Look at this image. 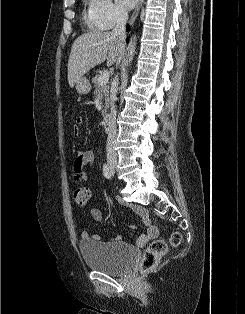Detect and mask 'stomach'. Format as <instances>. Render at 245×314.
I'll list each match as a JSON object with an SVG mask.
<instances>
[{"mask_svg": "<svg viewBox=\"0 0 245 314\" xmlns=\"http://www.w3.org/2000/svg\"><path fill=\"white\" fill-rule=\"evenodd\" d=\"M91 89L88 79L81 77L76 83V90L78 94L85 95L88 94Z\"/></svg>", "mask_w": 245, "mask_h": 314, "instance_id": "0dacf381", "label": "stomach"}]
</instances>
